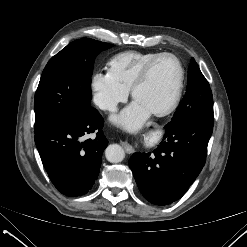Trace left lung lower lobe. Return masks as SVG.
<instances>
[{"instance_id":"obj_1","label":"left lung lower lobe","mask_w":247,"mask_h":247,"mask_svg":"<svg viewBox=\"0 0 247 247\" xmlns=\"http://www.w3.org/2000/svg\"><path fill=\"white\" fill-rule=\"evenodd\" d=\"M213 123L196 117L165 128L163 141L153 153H134L129 166L142 195L152 204L180 199L201 172Z\"/></svg>"}]
</instances>
